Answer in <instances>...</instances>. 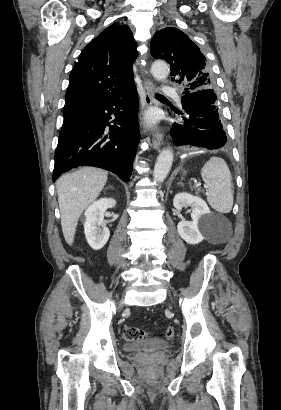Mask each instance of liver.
I'll return each mask as SVG.
<instances>
[{
	"instance_id": "obj_1",
	"label": "liver",
	"mask_w": 281,
	"mask_h": 410,
	"mask_svg": "<svg viewBox=\"0 0 281 410\" xmlns=\"http://www.w3.org/2000/svg\"><path fill=\"white\" fill-rule=\"evenodd\" d=\"M107 177L108 173L102 169L84 167L57 181L62 232L69 245L74 241L79 217L99 196Z\"/></svg>"
}]
</instances>
